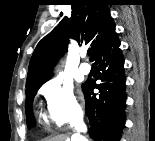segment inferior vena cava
I'll return each mask as SVG.
<instances>
[{
  "instance_id": "inferior-vena-cava-1",
  "label": "inferior vena cava",
  "mask_w": 155,
  "mask_h": 141,
  "mask_svg": "<svg viewBox=\"0 0 155 141\" xmlns=\"http://www.w3.org/2000/svg\"><path fill=\"white\" fill-rule=\"evenodd\" d=\"M75 129L77 130V132L85 131V130H86L85 127H84L83 125H80V124H77L76 127H75ZM78 136H79V135L74 136L73 139H76V141H77Z\"/></svg>"
}]
</instances>
